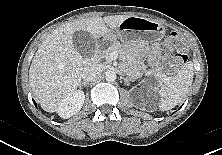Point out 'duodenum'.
Instances as JSON below:
<instances>
[{
  "mask_svg": "<svg viewBox=\"0 0 222 155\" xmlns=\"http://www.w3.org/2000/svg\"><path fill=\"white\" fill-rule=\"evenodd\" d=\"M99 45H97V47H96V53L93 55V57L91 58V62L92 63H95L96 61H97V59H98V51H99Z\"/></svg>",
  "mask_w": 222,
  "mask_h": 155,
  "instance_id": "410a0bca",
  "label": "duodenum"
}]
</instances>
